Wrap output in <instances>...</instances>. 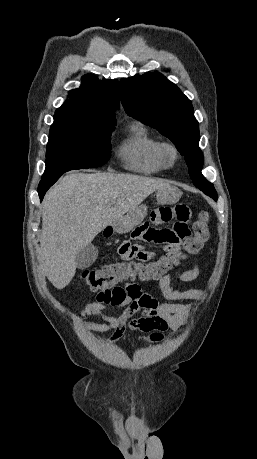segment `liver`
Here are the masks:
<instances>
[{
    "label": "liver",
    "instance_id": "1",
    "mask_svg": "<svg viewBox=\"0 0 257 459\" xmlns=\"http://www.w3.org/2000/svg\"><path fill=\"white\" fill-rule=\"evenodd\" d=\"M164 180L134 174L75 173L49 190L42 206L39 263L57 289L76 272L77 253L116 219L136 208Z\"/></svg>",
    "mask_w": 257,
    "mask_h": 459
}]
</instances>
